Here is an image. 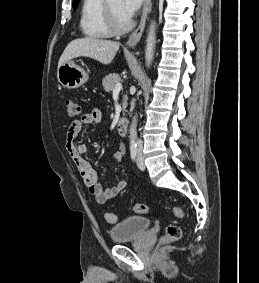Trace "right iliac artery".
Listing matches in <instances>:
<instances>
[{"instance_id": "obj_1", "label": "right iliac artery", "mask_w": 259, "mask_h": 283, "mask_svg": "<svg viewBox=\"0 0 259 283\" xmlns=\"http://www.w3.org/2000/svg\"><path fill=\"white\" fill-rule=\"evenodd\" d=\"M130 152H131V158L134 161L136 159V155H137V147L136 146H132L130 148Z\"/></svg>"}]
</instances>
